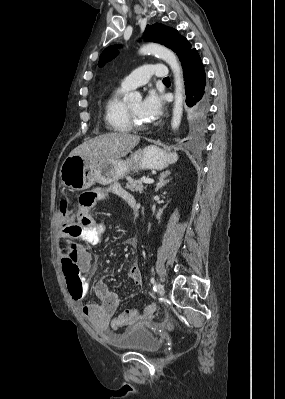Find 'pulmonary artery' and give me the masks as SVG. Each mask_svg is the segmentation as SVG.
<instances>
[{
  "instance_id": "1",
  "label": "pulmonary artery",
  "mask_w": 285,
  "mask_h": 399,
  "mask_svg": "<svg viewBox=\"0 0 285 399\" xmlns=\"http://www.w3.org/2000/svg\"><path fill=\"white\" fill-rule=\"evenodd\" d=\"M169 72L167 66L163 63H148L127 76L121 81V86L126 89H134L145 84L151 77L167 78Z\"/></svg>"
}]
</instances>
